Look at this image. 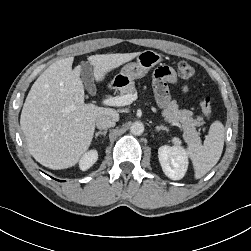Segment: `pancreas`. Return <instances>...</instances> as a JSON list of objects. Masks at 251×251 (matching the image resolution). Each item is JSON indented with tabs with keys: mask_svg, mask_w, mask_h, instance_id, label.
<instances>
[{
	"mask_svg": "<svg viewBox=\"0 0 251 251\" xmlns=\"http://www.w3.org/2000/svg\"><path fill=\"white\" fill-rule=\"evenodd\" d=\"M135 83L131 82L127 86L120 88V96L133 94L135 92ZM165 121L173 124H180L184 131L183 137L188 142H199L200 133L196 127L204 124L201 117L193 118V112L186 109H179L177 101H168L162 111Z\"/></svg>",
	"mask_w": 251,
	"mask_h": 251,
	"instance_id": "cf45deb5",
	"label": "pancreas"
}]
</instances>
